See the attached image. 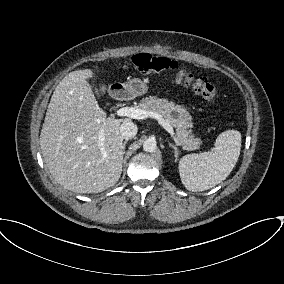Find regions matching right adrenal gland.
Returning <instances> with one entry per match:
<instances>
[{
	"label": "right adrenal gland",
	"instance_id": "1",
	"mask_svg": "<svg viewBox=\"0 0 284 284\" xmlns=\"http://www.w3.org/2000/svg\"><path fill=\"white\" fill-rule=\"evenodd\" d=\"M126 144H127V140H125L124 143H123L124 153H125Z\"/></svg>",
	"mask_w": 284,
	"mask_h": 284
}]
</instances>
